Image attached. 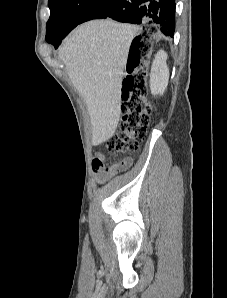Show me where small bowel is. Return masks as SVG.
I'll return each instance as SVG.
<instances>
[{"instance_id": "c3829d8e", "label": "small bowel", "mask_w": 227, "mask_h": 298, "mask_svg": "<svg viewBox=\"0 0 227 298\" xmlns=\"http://www.w3.org/2000/svg\"><path fill=\"white\" fill-rule=\"evenodd\" d=\"M131 164L132 158L125 157L110 165H106L105 156L102 153H96L92 163L96 179L99 182H103L111 176L127 169Z\"/></svg>"}]
</instances>
